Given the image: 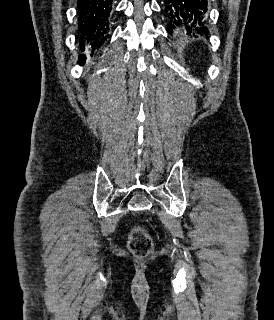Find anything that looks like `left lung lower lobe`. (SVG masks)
Here are the masks:
<instances>
[{"label": "left lung lower lobe", "instance_id": "obj_1", "mask_svg": "<svg viewBox=\"0 0 274 320\" xmlns=\"http://www.w3.org/2000/svg\"><path fill=\"white\" fill-rule=\"evenodd\" d=\"M165 12L171 18V22L187 23L198 33H207V0H164ZM173 26V25H172ZM171 26H168V30Z\"/></svg>", "mask_w": 274, "mask_h": 320}]
</instances>
